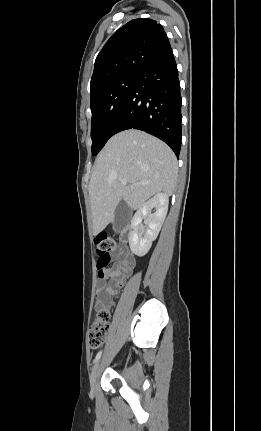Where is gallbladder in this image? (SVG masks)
I'll list each match as a JSON object with an SVG mask.
<instances>
[{
  "instance_id": "obj_1",
  "label": "gallbladder",
  "mask_w": 261,
  "mask_h": 431,
  "mask_svg": "<svg viewBox=\"0 0 261 431\" xmlns=\"http://www.w3.org/2000/svg\"><path fill=\"white\" fill-rule=\"evenodd\" d=\"M131 217V210L124 200H122L116 210L113 219V230L121 232L129 223Z\"/></svg>"
}]
</instances>
